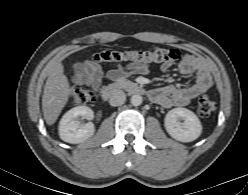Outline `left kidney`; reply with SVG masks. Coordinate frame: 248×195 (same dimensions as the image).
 I'll return each mask as SVG.
<instances>
[{
	"mask_svg": "<svg viewBox=\"0 0 248 195\" xmlns=\"http://www.w3.org/2000/svg\"><path fill=\"white\" fill-rule=\"evenodd\" d=\"M165 129L177 141L191 142L202 133V125L194 112L186 108H174L165 117Z\"/></svg>",
	"mask_w": 248,
	"mask_h": 195,
	"instance_id": "left-kidney-1",
	"label": "left kidney"
}]
</instances>
